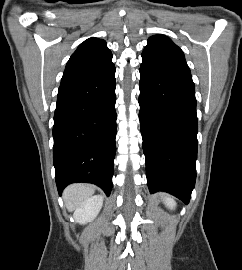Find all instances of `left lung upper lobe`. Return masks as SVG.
I'll use <instances>...</instances> for the list:
<instances>
[{
  "label": "left lung upper lobe",
  "mask_w": 242,
  "mask_h": 270,
  "mask_svg": "<svg viewBox=\"0 0 242 270\" xmlns=\"http://www.w3.org/2000/svg\"><path fill=\"white\" fill-rule=\"evenodd\" d=\"M142 58L149 62L170 64L190 70L183 51L164 35H155L148 39Z\"/></svg>",
  "instance_id": "obj_1"
}]
</instances>
